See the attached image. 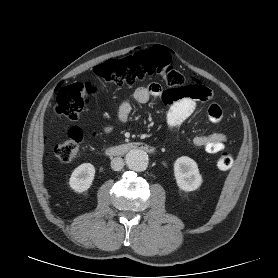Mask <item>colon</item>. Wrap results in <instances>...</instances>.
Segmentation results:
<instances>
[{"mask_svg": "<svg viewBox=\"0 0 278 278\" xmlns=\"http://www.w3.org/2000/svg\"><path fill=\"white\" fill-rule=\"evenodd\" d=\"M94 72L103 83L118 86H133L147 79L157 77L168 86L171 98L190 96L199 98L202 89L198 84H186L185 76L171 65L169 53L161 47H152L138 51L121 59H112L96 66ZM95 85L90 82H76L59 88L56 102V114L71 121L77 120L95 92ZM83 139L82 131L73 127L68 139L54 148L55 156L64 163L71 162L80 154ZM233 158L227 151H222L217 158V166L228 170Z\"/></svg>", "mask_w": 278, "mask_h": 278, "instance_id": "5ec220e1", "label": "colon"}]
</instances>
